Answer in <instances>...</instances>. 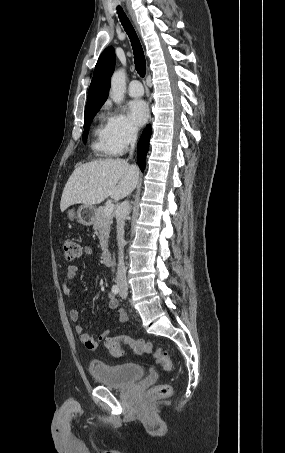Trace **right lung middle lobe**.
<instances>
[{
	"instance_id": "obj_1",
	"label": "right lung middle lobe",
	"mask_w": 285,
	"mask_h": 453,
	"mask_svg": "<svg viewBox=\"0 0 285 453\" xmlns=\"http://www.w3.org/2000/svg\"><path fill=\"white\" fill-rule=\"evenodd\" d=\"M96 112L97 111H92V112H88V113L84 114V129H85L84 133H83V142L84 143L86 142L89 126H90Z\"/></svg>"
}]
</instances>
